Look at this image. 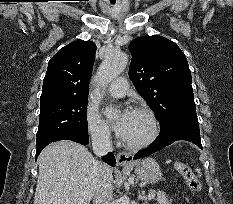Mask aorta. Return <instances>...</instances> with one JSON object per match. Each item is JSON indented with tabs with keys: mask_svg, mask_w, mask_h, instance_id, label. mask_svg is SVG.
I'll list each match as a JSON object with an SVG mask.
<instances>
[{
	"mask_svg": "<svg viewBox=\"0 0 233 204\" xmlns=\"http://www.w3.org/2000/svg\"><path fill=\"white\" fill-rule=\"evenodd\" d=\"M128 63L127 54L120 52L107 55L101 63L94 81L99 87L108 86L115 78H117ZM121 204H130V199L127 195L120 198Z\"/></svg>",
	"mask_w": 233,
	"mask_h": 204,
	"instance_id": "1",
	"label": "aorta"
}]
</instances>
